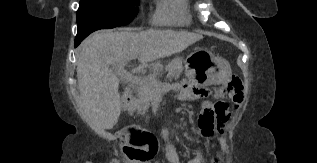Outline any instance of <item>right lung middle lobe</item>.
Here are the masks:
<instances>
[{
	"label": "right lung middle lobe",
	"mask_w": 317,
	"mask_h": 163,
	"mask_svg": "<svg viewBox=\"0 0 317 163\" xmlns=\"http://www.w3.org/2000/svg\"><path fill=\"white\" fill-rule=\"evenodd\" d=\"M139 0H81L77 10L78 33L83 40L93 31L128 24L138 13Z\"/></svg>",
	"instance_id": "dd1d6c3e"
}]
</instances>
